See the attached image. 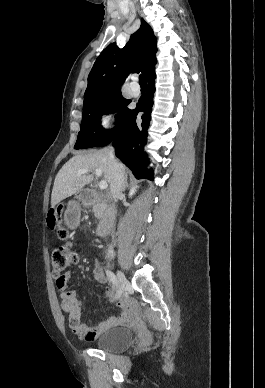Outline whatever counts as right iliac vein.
<instances>
[{"mask_svg":"<svg viewBox=\"0 0 265 388\" xmlns=\"http://www.w3.org/2000/svg\"><path fill=\"white\" fill-rule=\"evenodd\" d=\"M117 278H118V289H117V293H116V298H119L122 296V294L125 290V287L128 284V281L121 271L117 272Z\"/></svg>","mask_w":265,"mask_h":388,"instance_id":"63e3f726","label":"right iliac vein"}]
</instances>
